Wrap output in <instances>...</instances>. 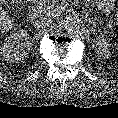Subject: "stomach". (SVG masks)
Returning <instances> with one entry per match:
<instances>
[{
  "mask_svg": "<svg viewBox=\"0 0 118 118\" xmlns=\"http://www.w3.org/2000/svg\"><path fill=\"white\" fill-rule=\"evenodd\" d=\"M116 0H96L99 10L110 13L115 7Z\"/></svg>",
  "mask_w": 118,
  "mask_h": 118,
  "instance_id": "obj_1",
  "label": "stomach"
}]
</instances>
